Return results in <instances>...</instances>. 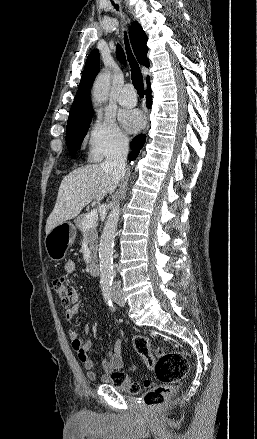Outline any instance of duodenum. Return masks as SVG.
<instances>
[{
  "instance_id": "1",
  "label": "duodenum",
  "mask_w": 257,
  "mask_h": 439,
  "mask_svg": "<svg viewBox=\"0 0 257 439\" xmlns=\"http://www.w3.org/2000/svg\"><path fill=\"white\" fill-rule=\"evenodd\" d=\"M89 272L93 277L100 275V267L96 260H92L89 265Z\"/></svg>"
}]
</instances>
